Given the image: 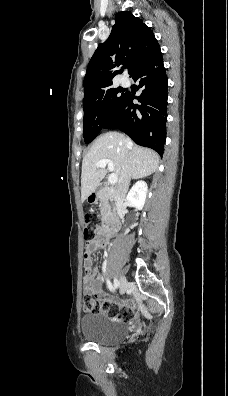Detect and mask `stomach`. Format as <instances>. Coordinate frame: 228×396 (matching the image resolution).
<instances>
[{"label": "stomach", "mask_w": 228, "mask_h": 396, "mask_svg": "<svg viewBox=\"0 0 228 396\" xmlns=\"http://www.w3.org/2000/svg\"><path fill=\"white\" fill-rule=\"evenodd\" d=\"M91 196H92V199H91L90 202H93V201L97 200V198H98V195L95 194V193H93V194H91V195L88 196L87 200H89V198H90Z\"/></svg>", "instance_id": "0dacf381"}]
</instances>
